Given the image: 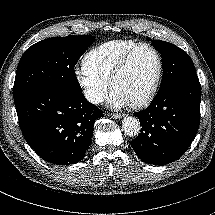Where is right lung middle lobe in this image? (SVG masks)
<instances>
[{"instance_id":"obj_1","label":"right lung middle lobe","mask_w":215,"mask_h":215,"mask_svg":"<svg viewBox=\"0 0 215 215\" xmlns=\"http://www.w3.org/2000/svg\"><path fill=\"white\" fill-rule=\"evenodd\" d=\"M94 36L53 37L39 41L22 55L13 87V98L40 88L81 92L74 66L93 43Z\"/></svg>"}]
</instances>
